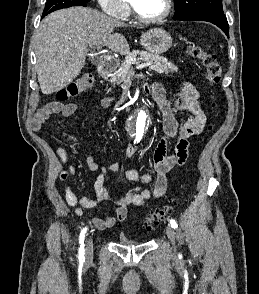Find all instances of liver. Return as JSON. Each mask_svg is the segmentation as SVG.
Segmentation results:
<instances>
[{
	"mask_svg": "<svg viewBox=\"0 0 259 294\" xmlns=\"http://www.w3.org/2000/svg\"><path fill=\"white\" fill-rule=\"evenodd\" d=\"M124 24L84 7L58 10L45 17L35 35L36 70L43 94L68 86L85 65L88 47L104 45L121 55L130 47L124 35L114 33Z\"/></svg>",
	"mask_w": 259,
	"mask_h": 294,
	"instance_id": "6515ba94",
	"label": "liver"
}]
</instances>
